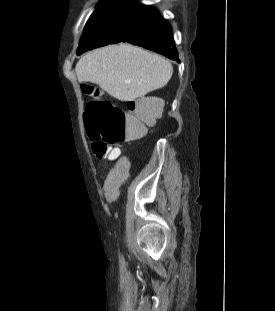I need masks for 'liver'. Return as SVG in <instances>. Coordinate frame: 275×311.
<instances>
[{
	"mask_svg": "<svg viewBox=\"0 0 275 311\" xmlns=\"http://www.w3.org/2000/svg\"><path fill=\"white\" fill-rule=\"evenodd\" d=\"M75 72L80 82L97 84L120 101H133L164 87L173 67L162 56L121 43L86 54Z\"/></svg>",
	"mask_w": 275,
	"mask_h": 311,
	"instance_id": "obj_1",
	"label": "liver"
}]
</instances>
